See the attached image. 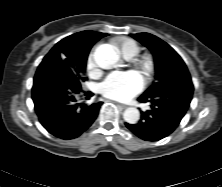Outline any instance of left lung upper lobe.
I'll return each mask as SVG.
<instances>
[{"label": "left lung upper lobe", "instance_id": "left-lung-upper-lobe-1", "mask_svg": "<svg viewBox=\"0 0 222 187\" xmlns=\"http://www.w3.org/2000/svg\"><path fill=\"white\" fill-rule=\"evenodd\" d=\"M131 36L151 51L156 63V80L142 96L151 97L169 91L168 98L179 97L182 84L192 82L182 58L171 46L152 34L138 33Z\"/></svg>", "mask_w": 222, "mask_h": 187}]
</instances>
